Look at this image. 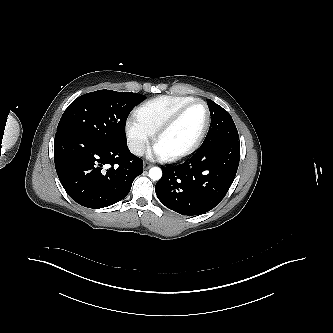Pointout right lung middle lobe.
Here are the masks:
<instances>
[{"mask_svg": "<svg viewBox=\"0 0 333 333\" xmlns=\"http://www.w3.org/2000/svg\"><path fill=\"white\" fill-rule=\"evenodd\" d=\"M146 96L98 90L74 100L63 113L56 135L74 134L110 144H126L125 124Z\"/></svg>", "mask_w": 333, "mask_h": 333, "instance_id": "obj_1", "label": "right lung middle lobe"}]
</instances>
